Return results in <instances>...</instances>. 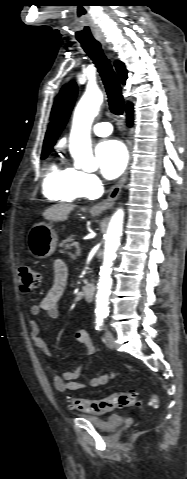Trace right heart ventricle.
Returning a JSON list of instances; mask_svg holds the SVG:
<instances>
[{
	"label": "right heart ventricle",
	"mask_w": 187,
	"mask_h": 479,
	"mask_svg": "<svg viewBox=\"0 0 187 479\" xmlns=\"http://www.w3.org/2000/svg\"><path fill=\"white\" fill-rule=\"evenodd\" d=\"M42 191L48 199L59 202H72L82 196L76 184V170L56 160L46 167Z\"/></svg>",
	"instance_id": "e07e8e85"
}]
</instances>
